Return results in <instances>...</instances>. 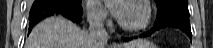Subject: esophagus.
I'll use <instances>...</instances> for the list:
<instances>
[{"label": "esophagus", "instance_id": "obj_1", "mask_svg": "<svg viewBox=\"0 0 213 48\" xmlns=\"http://www.w3.org/2000/svg\"><path fill=\"white\" fill-rule=\"evenodd\" d=\"M114 48L116 47V44H113Z\"/></svg>", "mask_w": 213, "mask_h": 48}]
</instances>
